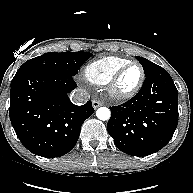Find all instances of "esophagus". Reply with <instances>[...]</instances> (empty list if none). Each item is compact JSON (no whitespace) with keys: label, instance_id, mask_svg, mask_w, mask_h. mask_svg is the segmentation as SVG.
I'll list each match as a JSON object with an SVG mask.
<instances>
[{"label":"esophagus","instance_id":"34e87169","mask_svg":"<svg viewBox=\"0 0 193 193\" xmlns=\"http://www.w3.org/2000/svg\"><path fill=\"white\" fill-rule=\"evenodd\" d=\"M102 105H103V103L101 101L95 100V99L92 100V106H93L94 109H96V108H98V107H100Z\"/></svg>","mask_w":193,"mask_h":193}]
</instances>
